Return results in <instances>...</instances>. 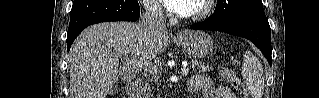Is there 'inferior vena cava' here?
<instances>
[{"mask_svg":"<svg viewBox=\"0 0 319 98\" xmlns=\"http://www.w3.org/2000/svg\"><path fill=\"white\" fill-rule=\"evenodd\" d=\"M143 6L145 11L141 15V21L139 22L142 30L147 34L155 36L166 34V25L162 8L151 0H145ZM160 97V93L157 94V98Z\"/></svg>","mask_w":319,"mask_h":98,"instance_id":"obj_1","label":"inferior vena cava"}]
</instances>
